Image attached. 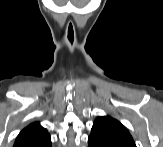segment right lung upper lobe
Here are the masks:
<instances>
[{"instance_id": "1", "label": "right lung upper lobe", "mask_w": 163, "mask_h": 147, "mask_svg": "<svg viewBox=\"0 0 163 147\" xmlns=\"http://www.w3.org/2000/svg\"><path fill=\"white\" fill-rule=\"evenodd\" d=\"M49 136L47 130L40 126L38 122L30 124L24 128L16 138V141L28 138H40Z\"/></svg>"}]
</instances>
